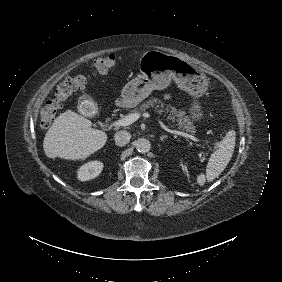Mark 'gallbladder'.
<instances>
[{
	"instance_id": "gallbladder-1",
	"label": "gallbladder",
	"mask_w": 282,
	"mask_h": 282,
	"mask_svg": "<svg viewBox=\"0 0 282 282\" xmlns=\"http://www.w3.org/2000/svg\"><path fill=\"white\" fill-rule=\"evenodd\" d=\"M92 101V99L88 96H82L78 100V108L88 107V104Z\"/></svg>"
}]
</instances>
